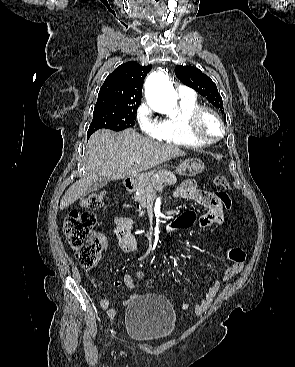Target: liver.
<instances>
[{"instance_id":"1","label":"liver","mask_w":295,"mask_h":367,"mask_svg":"<svg viewBox=\"0 0 295 367\" xmlns=\"http://www.w3.org/2000/svg\"><path fill=\"white\" fill-rule=\"evenodd\" d=\"M185 155L178 146L150 140L131 128L120 133L100 129L92 134L86 146V176L65 192L60 209L77 201L102 177L109 180L137 177L140 172Z\"/></svg>"}]
</instances>
